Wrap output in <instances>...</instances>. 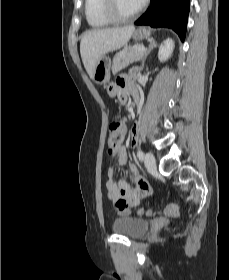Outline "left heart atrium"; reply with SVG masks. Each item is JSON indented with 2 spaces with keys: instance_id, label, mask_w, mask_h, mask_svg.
Masks as SVG:
<instances>
[{
  "instance_id": "1",
  "label": "left heart atrium",
  "mask_w": 229,
  "mask_h": 280,
  "mask_svg": "<svg viewBox=\"0 0 229 280\" xmlns=\"http://www.w3.org/2000/svg\"><path fill=\"white\" fill-rule=\"evenodd\" d=\"M137 2L138 7L143 6L147 0H135Z\"/></svg>"
}]
</instances>
